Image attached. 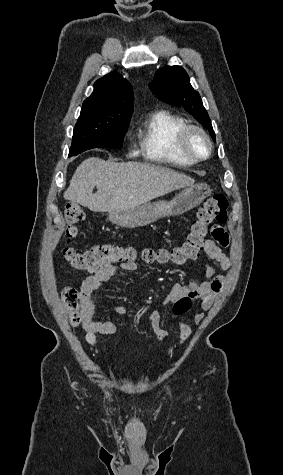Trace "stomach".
Masks as SVG:
<instances>
[{
	"label": "stomach",
	"instance_id": "1",
	"mask_svg": "<svg viewBox=\"0 0 283 475\" xmlns=\"http://www.w3.org/2000/svg\"><path fill=\"white\" fill-rule=\"evenodd\" d=\"M211 188L207 184H194L184 188L180 194H177L170 202L160 200L153 204H144L140 208L132 210H120V212H110L108 218L112 224H117L121 228H137V226H146L151 222H156L159 218L165 216H179L188 210H193L199 206L205 198L211 196Z\"/></svg>",
	"mask_w": 283,
	"mask_h": 475
}]
</instances>
